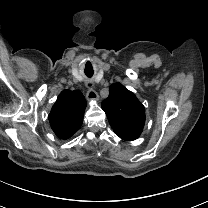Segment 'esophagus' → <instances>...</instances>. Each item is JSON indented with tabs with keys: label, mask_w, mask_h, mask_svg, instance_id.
<instances>
[{
	"label": "esophagus",
	"mask_w": 208,
	"mask_h": 208,
	"mask_svg": "<svg viewBox=\"0 0 208 208\" xmlns=\"http://www.w3.org/2000/svg\"><path fill=\"white\" fill-rule=\"evenodd\" d=\"M86 97H87V100H89V101H97L99 99L97 92L94 90H89L87 92Z\"/></svg>",
	"instance_id": "34e87169"
}]
</instances>
